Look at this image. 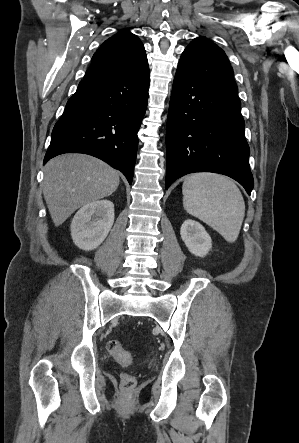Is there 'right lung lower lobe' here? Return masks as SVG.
I'll list each match as a JSON object with an SVG mask.
<instances>
[{"label":"right lung lower lobe","mask_w":299,"mask_h":443,"mask_svg":"<svg viewBox=\"0 0 299 443\" xmlns=\"http://www.w3.org/2000/svg\"><path fill=\"white\" fill-rule=\"evenodd\" d=\"M149 82V72L82 80L54 126L44 164L59 154L85 153L120 170L131 184Z\"/></svg>","instance_id":"right-lung-lower-lobe-1"}]
</instances>
